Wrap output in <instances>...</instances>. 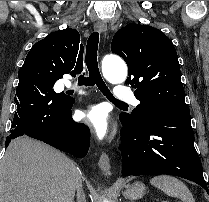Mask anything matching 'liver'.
<instances>
[{"label": "liver", "instance_id": "1", "mask_svg": "<svg viewBox=\"0 0 209 202\" xmlns=\"http://www.w3.org/2000/svg\"><path fill=\"white\" fill-rule=\"evenodd\" d=\"M80 178V170L65 154L19 137L0 164V202H74Z\"/></svg>", "mask_w": 209, "mask_h": 202}]
</instances>
